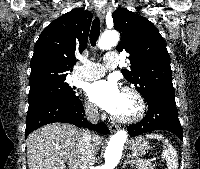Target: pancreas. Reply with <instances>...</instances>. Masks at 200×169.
<instances>
[{
  "label": "pancreas",
  "instance_id": "cf45deb5",
  "mask_svg": "<svg viewBox=\"0 0 200 169\" xmlns=\"http://www.w3.org/2000/svg\"><path fill=\"white\" fill-rule=\"evenodd\" d=\"M133 164L136 165L137 169H154L155 168V164H152L149 161H145V160H134Z\"/></svg>",
  "mask_w": 200,
  "mask_h": 169
}]
</instances>
